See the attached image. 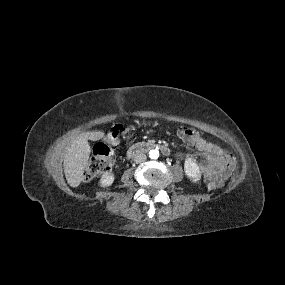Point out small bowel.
<instances>
[{
	"label": "small bowel",
	"mask_w": 285,
	"mask_h": 285,
	"mask_svg": "<svg viewBox=\"0 0 285 285\" xmlns=\"http://www.w3.org/2000/svg\"><path fill=\"white\" fill-rule=\"evenodd\" d=\"M195 146L206 159V163L202 168L208 179L223 180L229 177L233 170L234 162L225 150L202 137L198 138Z\"/></svg>",
	"instance_id": "small-bowel-1"
}]
</instances>
